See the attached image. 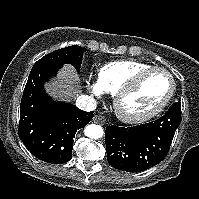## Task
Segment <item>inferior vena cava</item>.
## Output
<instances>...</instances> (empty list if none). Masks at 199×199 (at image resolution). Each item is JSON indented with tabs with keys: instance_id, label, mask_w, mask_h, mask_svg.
I'll use <instances>...</instances> for the list:
<instances>
[{
	"instance_id": "inferior-vena-cava-1",
	"label": "inferior vena cava",
	"mask_w": 199,
	"mask_h": 199,
	"mask_svg": "<svg viewBox=\"0 0 199 199\" xmlns=\"http://www.w3.org/2000/svg\"><path fill=\"white\" fill-rule=\"evenodd\" d=\"M76 106L84 111H93L96 109L97 104L94 98L87 95H81L76 100Z\"/></svg>"
}]
</instances>
